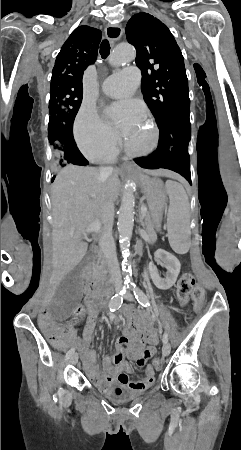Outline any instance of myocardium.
Returning <instances> with one entry per match:
<instances>
[{
  "label": "myocardium",
  "instance_id": "1",
  "mask_svg": "<svg viewBox=\"0 0 241 450\" xmlns=\"http://www.w3.org/2000/svg\"><path fill=\"white\" fill-rule=\"evenodd\" d=\"M149 127H154V122H149ZM150 134H151V138H150V140H147L146 141V144L147 145H150L149 147L150 148H146V152H144V153H137L136 155H135V157H150V153H153V150L154 149H156L157 148V145L156 144H154V142H157V137H158V131L157 130H151L150 131Z\"/></svg>",
  "mask_w": 241,
  "mask_h": 450
}]
</instances>
